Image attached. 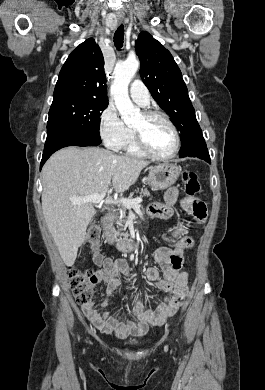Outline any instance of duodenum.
I'll return each mask as SVG.
<instances>
[{
	"label": "duodenum",
	"instance_id": "1",
	"mask_svg": "<svg viewBox=\"0 0 265 390\" xmlns=\"http://www.w3.org/2000/svg\"><path fill=\"white\" fill-rule=\"evenodd\" d=\"M114 218H115L114 213L109 212V213L105 214V216L103 217V220H102V225H103L105 230H107V228L113 223ZM105 238H106V241L108 242V244L113 243V240H111L107 234H105ZM136 246H137L136 243L131 244V248H135Z\"/></svg>",
	"mask_w": 265,
	"mask_h": 390
}]
</instances>
